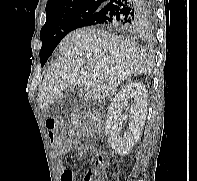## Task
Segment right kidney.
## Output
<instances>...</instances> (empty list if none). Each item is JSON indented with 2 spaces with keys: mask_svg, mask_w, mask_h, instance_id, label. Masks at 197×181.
Wrapping results in <instances>:
<instances>
[{
  "mask_svg": "<svg viewBox=\"0 0 197 181\" xmlns=\"http://www.w3.org/2000/svg\"><path fill=\"white\" fill-rule=\"evenodd\" d=\"M147 97L143 83L130 82L112 99L106 120V134L111 148L119 155H126L142 133L147 114ZM126 107L129 108L131 121L127 132L122 134V110Z\"/></svg>",
  "mask_w": 197,
  "mask_h": 181,
  "instance_id": "1",
  "label": "right kidney"
}]
</instances>
